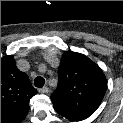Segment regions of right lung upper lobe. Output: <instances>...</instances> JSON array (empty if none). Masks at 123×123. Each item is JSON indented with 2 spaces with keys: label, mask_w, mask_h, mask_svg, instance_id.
<instances>
[{
  "label": "right lung upper lobe",
  "mask_w": 123,
  "mask_h": 123,
  "mask_svg": "<svg viewBox=\"0 0 123 123\" xmlns=\"http://www.w3.org/2000/svg\"><path fill=\"white\" fill-rule=\"evenodd\" d=\"M36 93L27 74L17 69L13 56L1 58V123H21Z\"/></svg>",
  "instance_id": "cb5924a9"
}]
</instances>
